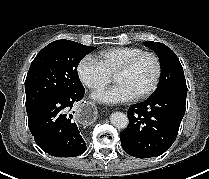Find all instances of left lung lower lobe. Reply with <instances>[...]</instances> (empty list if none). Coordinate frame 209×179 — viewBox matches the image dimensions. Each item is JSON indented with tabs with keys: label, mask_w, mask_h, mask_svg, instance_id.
<instances>
[{
	"label": "left lung lower lobe",
	"mask_w": 209,
	"mask_h": 179,
	"mask_svg": "<svg viewBox=\"0 0 209 179\" xmlns=\"http://www.w3.org/2000/svg\"><path fill=\"white\" fill-rule=\"evenodd\" d=\"M187 87L168 90L131 105L120 133L123 150L137 158L158 157L175 141L185 113Z\"/></svg>",
	"instance_id": "0a47b994"
}]
</instances>
